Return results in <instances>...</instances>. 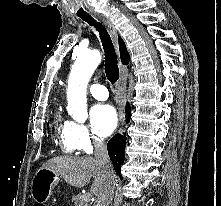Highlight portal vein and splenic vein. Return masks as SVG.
I'll return each instance as SVG.
<instances>
[{
  "mask_svg": "<svg viewBox=\"0 0 221 206\" xmlns=\"http://www.w3.org/2000/svg\"><path fill=\"white\" fill-rule=\"evenodd\" d=\"M85 198L89 200L91 198V194H86Z\"/></svg>",
  "mask_w": 221,
  "mask_h": 206,
  "instance_id": "portal-vein-and-splenic-vein-1",
  "label": "portal vein and splenic vein"
}]
</instances>
